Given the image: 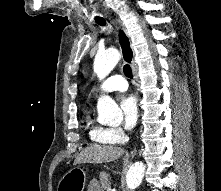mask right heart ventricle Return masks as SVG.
<instances>
[{"instance_id": "e07e8e85", "label": "right heart ventricle", "mask_w": 221, "mask_h": 191, "mask_svg": "<svg viewBox=\"0 0 221 191\" xmlns=\"http://www.w3.org/2000/svg\"><path fill=\"white\" fill-rule=\"evenodd\" d=\"M88 137L90 141L97 145H110L114 142L110 139L108 135L107 128L92 123L90 120L87 125Z\"/></svg>"}]
</instances>
